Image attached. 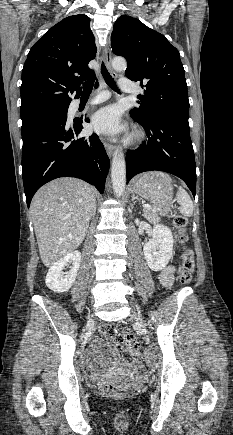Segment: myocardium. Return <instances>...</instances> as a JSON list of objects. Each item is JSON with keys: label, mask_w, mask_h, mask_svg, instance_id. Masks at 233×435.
<instances>
[{"label": "myocardium", "mask_w": 233, "mask_h": 435, "mask_svg": "<svg viewBox=\"0 0 233 435\" xmlns=\"http://www.w3.org/2000/svg\"><path fill=\"white\" fill-rule=\"evenodd\" d=\"M143 137V134L141 132H138L137 134H135L134 139L135 140H139Z\"/></svg>", "instance_id": "f54148a6"}]
</instances>
